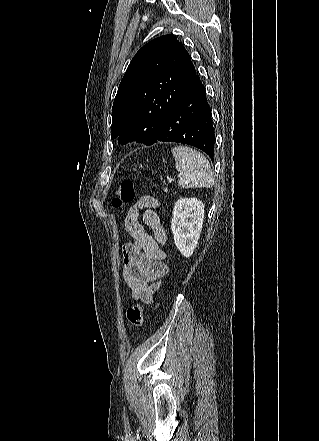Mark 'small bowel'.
Wrapping results in <instances>:
<instances>
[{
  "label": "small bowel",
  "instance_id": "small-bowel-1",
  "mask_svg": "<svg viewBox=\"0 0 319 441\" xmlns=\"http://www.w3.org/2000/svg\"><path fill=\"white\" fill-rule=\"evenodd\" d=\"M158 206L156 198L145 195L128 210L124 220L131 240L123 247L122 275L131 297L146 304L152 302L154 292L167 274L166 253L162 248L167 235L155 211ZM142 223L151 228L153 235Z\"/></svg>",
  "mask_w": 319,
  "mask_h": 441
}]
</instances>
